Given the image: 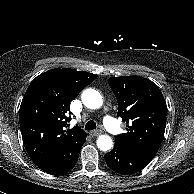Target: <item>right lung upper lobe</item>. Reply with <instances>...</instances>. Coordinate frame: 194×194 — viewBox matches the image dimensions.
<instances>
[{"label": "right lung upper lobe", "instance_id": "right-lung-upper-lobe-1", "mask_svg": "<svg viewBox=\"0 0 194 194\" xmlns=\"http://www.w3.org/2000/svg\"><path fill=\"white\" fill-rule=\"evenodd\" d=\"M96 74L70 68L51 69L29 85L20 106V129L25 149L45 172L67 162L86 140L78 126L66 130L70 102Z\"/></svg>", "mask_w": 194, "mask_h": 194}]
</instances>
